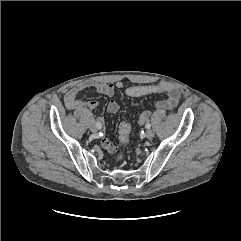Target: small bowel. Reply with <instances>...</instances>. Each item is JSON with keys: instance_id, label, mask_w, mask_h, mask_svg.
<instances>
[{"instance_id": "c3829d8e", "label": "small bowel", "mask_w": 241, "mask_h": 241, "mask_svg": "<svg viewBox=\"0 0 241 241\" xmlns=\"http://www.w3.org/2000/svg\"><path fill=\"white\" fill-rule=\"evenodd\" d=\"M94 88L98 93L112 97L116 90H122L127 96L141 97L149 94H166L167 98L157 102V107L160 109L172 110L174 109L180 100V91L171 83L159 82L151 85H126L122 81L115 83H99V82H82L72 86L65 94L64 102L68 109L75 110L83 106H87L90 109H95L98 106L97 101H84L78 97V95L89 89ZM120 106L118 102L111 99L107 104V111L110 114L118 112ZM150 117L149 111H144L138 118V124H144ZM102 147L108 153H114L116 150V144L102 137Z\"/></svg>"}]
</instances>
